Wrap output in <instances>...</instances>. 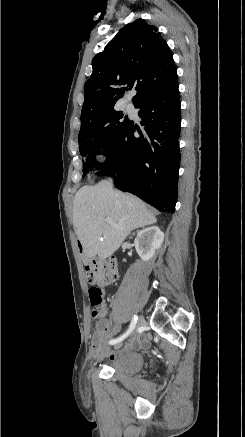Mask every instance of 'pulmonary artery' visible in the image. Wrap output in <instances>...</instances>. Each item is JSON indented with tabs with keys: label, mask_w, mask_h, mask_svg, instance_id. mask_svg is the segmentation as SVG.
<instances>
[{
	"label": "pulmonary artery",
	"mask_w": 245,
	"mask_h": 437,
	"mask_svg": "<svg viewBox=\"0 0 245 437\" xmlns=\"http://www.w3.org/2000/svg\"><path fill=\"white\" fill-rule=\"evenodd\" d=\"M125 108H126V109H130V108H131V105H130V104H126V105H125Z\"/></svg>",
	"instance_id": "e3ab8cb5"
}]
</instances>
